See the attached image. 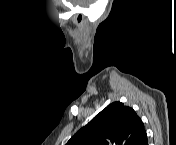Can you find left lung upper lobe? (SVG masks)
<instances>
[{
    "label": "left lung upper lobe",
    "mask_w": 176,
    "mask_h": 145,
    "mask_svg": "<svg viewBox=\"0 0 176 145\" xmlns=\"http://www.w3.org/2000/svg\"><path fill=\"white\" fill-rule=\"evenodd\" d=\"M144 124L136 112L114 102L81 128L66 145H139Z\"/></svg>",
    "instance_id": "obj_1"
}]
</instances>
